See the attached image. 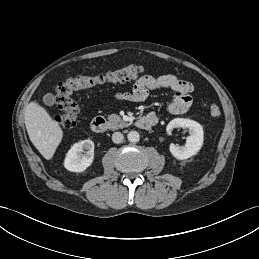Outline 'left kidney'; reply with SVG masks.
Segmentation results:
<instances>
[{"instance_id":"1","label":"left kidney","mask_w":259,"mask_h":259,"mask_svg":"<svg viewBox=\"0 0 259 259\" xmlns=\"http://www.w3.org/2000/svg\"><path fill=\"white\" fill-rule=\"evenodd\" d=\"M183 128L189 130V136L186 138L184 146H177L175 144L170 145L171 154L179 160H184L197 154L203 145V128L202 126L190 119L176 118L171 120L167 125V131H171L174 128Z\"/></svg>"}]
</instances>
